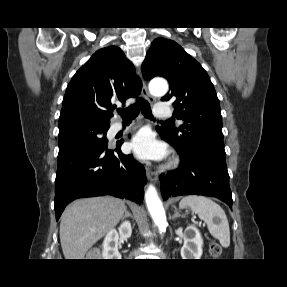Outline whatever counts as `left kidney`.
I'll return each instance as SVG.
<instances>
[{
	"instance_id": "1",
	"label": "left kidney",
	"mask_w": 287,
	"mask_h": 287,
	"mask_svg": "<svg viewBox=\"0 0 287 287\" xmlns=\"http://www.w3.org/2000/svg\"><path fill=\"white\" fill-rule=\"evenodd\" d=\"M186 238L181 248L182 259H200L202 256L203 239L195 226L186 228Z\"/></svg>"
}]
</instances>
